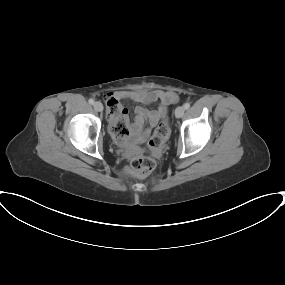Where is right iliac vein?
I'll list each match as a JSON object with an SVG mask.
<instances>
[{
  "label": "right iliac vein",
  "instance_id": "right-iliac-vein-1",
  "mask_svg": "<svg viewBox=\"0 0 285 285\" xmlns=\"http://www.w3.org/2000/svg\"><path fill=\"white\" fill-rule=\"evenodd\" d=\"M94 109L98 112L102 111L103 110V105L101 102L97 101L94 103L93 105Z\"/></svg>",
  "mask_w": 285,
  "mask_h": 285
}]
</instances>
